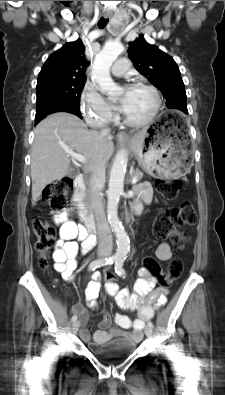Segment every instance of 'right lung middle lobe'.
<instances>
[{
    "mask_svg": "<svg viewBox=\"0 0 225 395\" xmlns=\"http://www.w3.org/2000/svg\"><path fill=\"white\" fill-rule=\"evenodd\" d=\"M83 81H57L39 84L36 87V117H42L64 106L79 107Z\"/></svg>",
    "mask_w": 225,
    "mask_h": 395,
    "instance_id": "obj_1",
    "label": "right lung middle lobe"
}]
</instances>
